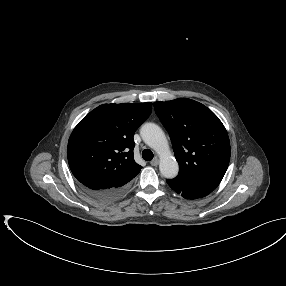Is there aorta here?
I'll list each match as a JSON object with an SVG mask.
<instances>
[{"instance_id": "1", "label": "aorta", "mask_w": 286, "mask_h": 286, "mask_svg": "<svg viewBox=\"0 0 286 286\" xmlns=\"http://www.w3.org/2000/svg\"><path fill=\"white\" fill-rule=\"evenodd\" d=\"M140 134L143 141L159 155V170L162 176L168 179L175 178L179 171V165L171 154L163 130L154 123H145L141 127Z\"/></svg>"}]
</instances>
